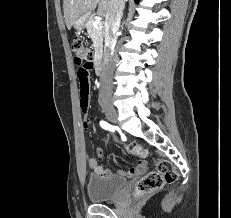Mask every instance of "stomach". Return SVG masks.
Instances as JSON below:
<instances>
[{
    "label": "stomach",
    "instance_id": "obj_1",
    "mask_svg": "<svg viewBox=\"0 0 231 218\" xmlns=\"http://www.w3.org/2000/svg\"><path fill=\"white\" fill-rule=\"evenodd\" d=\"M85 20H86V17H80L75 21L73 26L78 32H81L83 30Z\"/></svg>",
    "mask_w": 231,
    "mask_h": 218
}]
</instances>
